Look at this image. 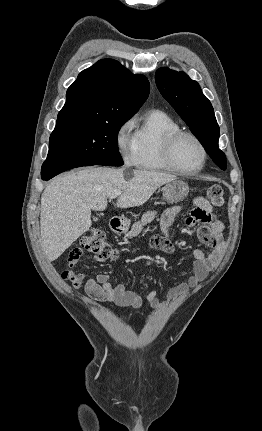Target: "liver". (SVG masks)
Listing matches in <instances>:
<instances>
[{"instance_id": "obj_1", "label": "liver", "mask_w": 262, "mask_h": 431, "mask_svg": "<svg viewBox=\"0 0 262 431\" xmlns=\"http://www.w3.org/2000/svg\"><path fill=\"white\" fill-rule=\"evenodd\" d=\"M87 167L53 179L41 197V244L47 258L56 260L91 227V210L107 207L109 194L120 190L117 206L131 208L144 204L175 175L149 170Z\"/></svg>"}]
</instances>
